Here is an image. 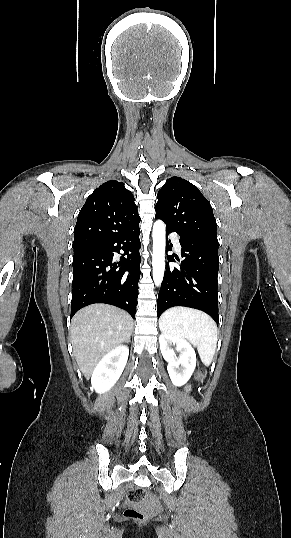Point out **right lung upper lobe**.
Listing matches in <instances>:
<instances>
[{
	"mask_svg": "<svg viewBox=\"0 0 291 538\" xmlns=\"http://www.w3.org/2000/svg\"><path fill=\"white\" fill-rule=\"evenodd\" d=\"M133 194L115 180L99 186L87 198L74 229L73 249L105 243L138 227Z\"/></svg>",
	"mask_w": 291,
	"mask_h": 538,
	"instance_id": "cb5924a9",
	"label": "right lung upper lobe"
}]
</instances>
